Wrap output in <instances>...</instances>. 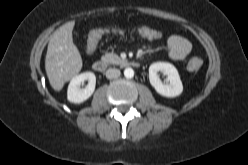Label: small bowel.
Returning a JSON list of instances; mask_svg holds the SVG:
<instances>
[{
    "label": "small bowel",
    "mask_w": 248,
    "mask_h": 165,
    "mask_svg": "<svg viewBox=\"0 0 248 165\" xmlns=\"http://www.w3.org/2000/svg\"><path fill=\"white\" fill-rule=\"evenodd\" d=\"M144 29H149V27H138L133 30V33L139 37L155 40L151 37L146 36L143 33ZM120 33V31L118 32ZM167 50L169 58L173 61L184 60L191 51V43L184 37L180 35H172L167 40Z\"/></svg>",
    "instance_id": "c3829d8e"
}]
</instances>
